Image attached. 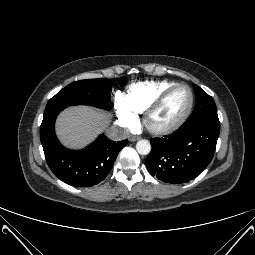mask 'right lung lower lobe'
Masks as SVG:
<instances>
[{
    "instance_id": "98d812e1",
    "label": "right lung lower lobe",
    "mask_w": 255,
    "mask_h": 255,
    "mask_svg": "<svg viewBox=\"0 0 255 255\" xmlns=\"http://www.w3.org/2000/svg\"><path fill=\"white\" fill-rule=\"evenodd\" d=\"M64 108L46 109L40 128V138L48 166L54 175L76 187H91L100 183L111 171L120 150L127 140L115 142L100 135L83 150L64 148L55 135L54 123Z\"/></svg>"
}]
</instances>
